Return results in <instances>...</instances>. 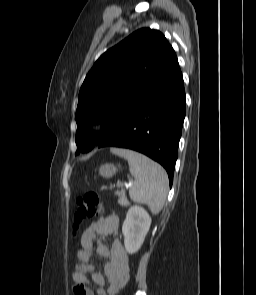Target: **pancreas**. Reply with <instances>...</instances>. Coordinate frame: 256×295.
<instances>
[{"mask_svg": "<svg viewBox=\"0 0 256 295\" xmlns=\"http://www.w3.org/2000/svg\"><path fill=\"white\" fill-rule=\"evenodd\" d=\"M115 194L121 198H125V191L124 190H121V191L117 190L115 192Z\"/></svg>", "mask_w": 256, "mask_h": 295, "instance_id": "pancreas-1", "label": "pancreas"}]
</instances>
